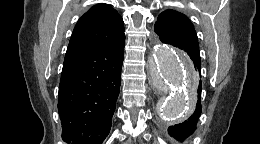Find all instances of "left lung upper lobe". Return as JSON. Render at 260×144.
<instances>
[{
  "instance_id": "left-lung-upper-lobe-1",
  "label": "left lung upper lobe",
  "mask_w": 260,
  "mask_h": 144,
  "mask_svg": "<svg viewBox=\"0 0 260 144\" xmlns=\"http://www.w3.org/2000/svg\"><path fill=\"white\" fill-rule=\"evenodd\" d=\"M155 33L162 42L184 41L198 44V37L189 18L176 10H165L154 26ZM195 69L201 73V60L194 62Z\"/></svg>"
}]
</instances>
